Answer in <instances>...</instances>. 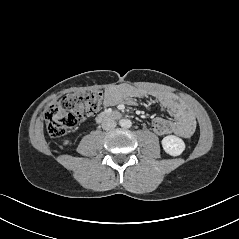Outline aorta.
<instances>
[{
  "label": "aorta",
  "mask_w": 239,
  "mask_h": 239,
  "mask_svg": "<svg viewBox=\"0 0 239 239\" xmlns=\"http://www.w3.org/2000/svg\"><path fill=\"white\" fill-rule=\"evenodd\" d=\"M120 125L124 128H130L132 123L128 119L121 120Z\"/></svg>",
  "instance_id": "1"
}]
</instances>
